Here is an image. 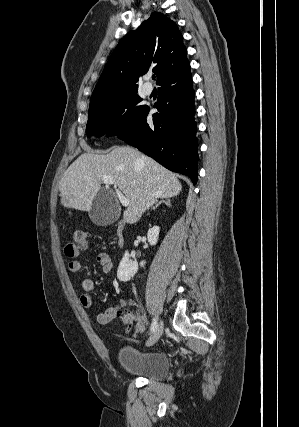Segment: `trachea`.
Returning a JSON list of instances; mask_svg holds the SVG:
<instances>
[{
    "instance_id": "trachea-1",
    "label": "trachea",
    "mask_w": 299,
    "mask_h": 427,
    "mask_svg": "<svg viewBox=\"0 0 299 427\" xmlns=\"http://www.w3.org/2000/svg\"><path fill=\"white\" fill-rule=\"evenodd\" d=\"M152 79L155 80V75H152Z\"/></svg>"
}]
</instances>
